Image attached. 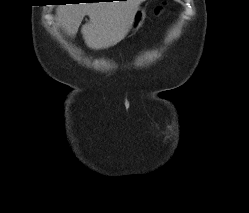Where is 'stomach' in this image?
Listing matches in <instances>:
<instances>
[{
  "label": "stomach",
  "mask_w": 249,
  "mask_h": 213,
  "mask_svg": "<svg viewBox=\"0 0 249 213\" xmlns=\"http://www.w3.org/2000/svg\"><path fill=\"white\" fill-rule=\"evenodd\" d=\"M145 17H146V14H145L144 9L139 7L137 9L135 15H134V19H133L131 29L138 30L142 26V24H143V22L145 20Z\"/></svg>",
  "instance_id": "1"
}]
</instances>
